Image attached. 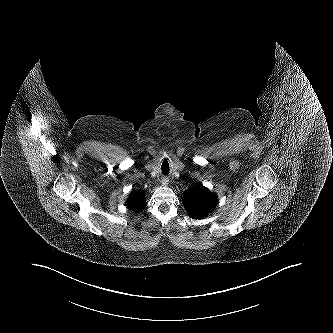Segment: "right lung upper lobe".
I'll use <instances>...</instances> for the list:
<instances>
[{"label": "right lung upper lobe", "instance_id": "right-lung-upper-lobe-1", "mask_svg": "<svg viewBox=\"0 0 333 333\" xmlns=\"http://www.w3.org/2000/svg\"><path fill=\"white\" fill-rule=\"evenodd\" d=\"M145 204L144 194L142 192H133L129 196L126 206L129 209H140Z\"/></svg>", "mask_w": 333, "mask_h": 333}]
</instances>
